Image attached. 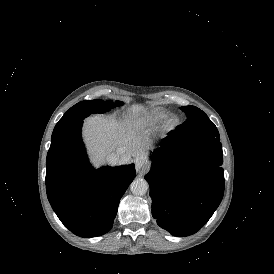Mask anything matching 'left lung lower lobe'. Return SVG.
<instances>
[{"label": "left lung lower lobe", "instance_id": "left-lung-lower-lobe-1", "mask_svg": "<svg viewBox=\"0 0 274 274\" xmlns=\"http://www.w3.org/2000/svg\"><path fill=\"white\" fill-rule=\"evenodd\" d=\"M152 216L174 236L196 233L211 218L224 193L219 135L177 130L152 154Z\"/></svg>", "mask_w": 274, "mask_h": 274}]
</instances>
